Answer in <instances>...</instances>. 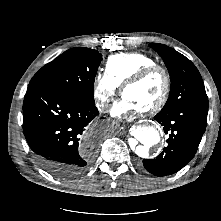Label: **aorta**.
<instances>
[{"instance_id": "1", "label": "aorta", "mask_w": 221, "mask_h": 221, "mask_svg": "<svg viewBox=\"0 0 221 221\" xmlns=\"http://www.w3.org/2000/svg\"><path fill=\"white\" fill-rule=\"evenodd\" d=\"M134 137L142 144L132 145L135 153L140 157H146L148 148L158 144L160 141L159 131L152 126L137 127L134 131Z\"/></svg>"}]
</instances>
